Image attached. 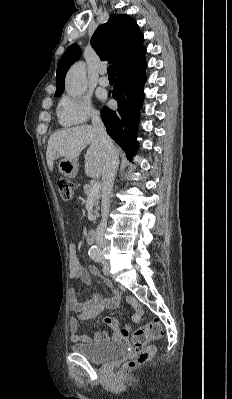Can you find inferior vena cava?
Returning <instances> with one entry per match:
<instances>
[{"label": "inferior vena cava", "mask_w": 232, "mask_h": 399, "mask_svg": "<svg viewBox=\"0 0 232 399\" xmlns=\"http://www.w3.org/2000/svg\"><path fill=\"white\" fill-rule=\"evenodd\" d=\"M92 124L94 130H96L98 134L99 142H101V144H104L106 148V166L102 174V219L97 227L96 241L99 248H108L109 242L107 241V239H105L104 233L106 231L107 217L110 207V196L113 190V184L119 164V158L114 148V144L111 138H109L100 116H97V114H93Z\"/></svg>", "instance_id": "obj_1"}]
</instances>
